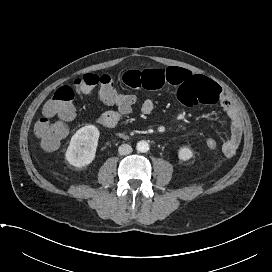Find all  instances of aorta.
<instances>
[{
    "label": "aorta",
    "instance_id": "762f6f07",
    "mask_svg": "<svg viewBox=\"0 0 272 272\" xmlns=\"http://www.w3.org/2000/svg\"><path fill=\"white\" fill-rule=\"evenodd\" d=\"M136 149L139 152H143V153L147 152L149 150V144L146 141H144V140L139 141L137 143Z\"/></svg>",
    "mask_w": 272,
    "mask_h": 272
}]
</instances>
